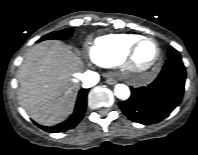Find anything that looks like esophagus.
Instances as JSON below:
<instances>
[{"instance_id":"esophagus-1","label":"esophagus","mask_w":198,"mask_h":155,"mask_svg":"<svg viewBox=\"0 0 198 155\" xmlns=\"http://www.w3.org/2000/svg\"><path fill=\"white\" fill-rule=\"evenodd\" d=\"M106 82H107V84H109V85H114L117 81L115 80V78L112 76V75H110V74H107L106 75Z\"/></svg>"}]
</instances>
